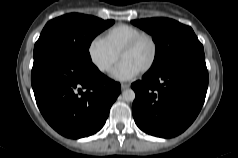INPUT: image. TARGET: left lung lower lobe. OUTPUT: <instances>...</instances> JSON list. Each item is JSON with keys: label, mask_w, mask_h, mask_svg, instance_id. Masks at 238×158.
<instances>
[{"label": "left lung lower lobe", "mask_w": 238, "mask_h": 158, "mask_svg": "<svg viewBox=\"0 0 238 158\" xmlns=\"http://www.w3.org/2000/svg\"><path fill=\"white\" fill-rule=\"evenodd\" d=\"M132 112L147 134L171 138L195 120L205 100L208 71L203 49L186 52L131 85Z\"/></svg>", "instance_id": "left-lung-lower-lobe-1"}]
</instances>
